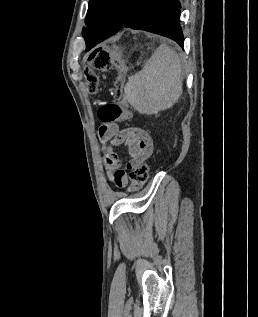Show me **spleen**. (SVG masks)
I'll use <instances>...</instances> for the list:
<instances>
[{
    "label": "spleen",
    "instance_id": "obj_1",
    "mask_svg": "<svg viewBox=\"0 0 258 317\" xmlns=\"http://www.w3.org/2000/svg\"><path fill=\"white\" fill-rule=\"evenodd\" d=\"M181 60L170 46L160 44L142 70L129 76L126 98L141 114H157L177 102L182 94Z\"/></svg>",
    "mask_w": 258,
    "mask_h": 317
}]
</instances>
